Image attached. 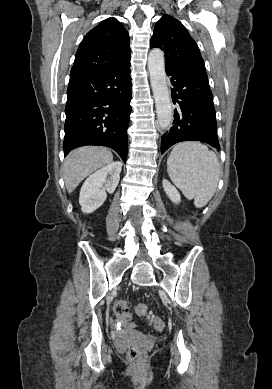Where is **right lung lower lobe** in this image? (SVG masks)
<instances>
[{"instance_id":"1","label":"right lung lower lobe","mask_w":272,"mask_h":389,"mask_svg":"<svg viewBox=\"0 0 272 389\" xmlns=\"http://www.w3.org/2000/svg\"><path fill=\"white\" fill-rule=\"evenodd\" d=\"M130 59L104 71L70 78L64 153L82 145L114 149L126 162L131 114Z\"/></svg>"}]
</instances>
